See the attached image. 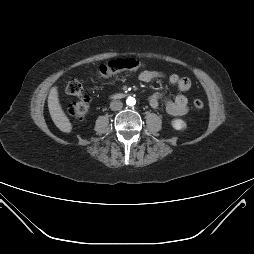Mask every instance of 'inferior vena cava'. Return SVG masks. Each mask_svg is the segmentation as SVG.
Instances as JSON below:
<instances>
[{
    "mask_svg": "<svg viewBox=\"0 0 254 254\" xmlns=\"http://www.w3.org/2000/svg\"><path fill=\"white\" fill-rule=\"evenodd\" d=\"M123 107V103L121 101H112L110 103V109L113 111L120 110Z\"/></svg>",
    "mask_w": 254,
    "mask_h": 254,
    "instance_id": "obj_1",
    "label": "inferior vena cava"
}]
</instances>
